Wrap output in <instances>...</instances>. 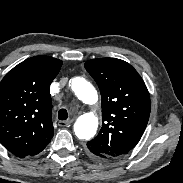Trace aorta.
Returning <instances> with one entry per match:
<instances>
[{
  "label": "aorta",
  "mask_w": 183,
  "mask_h": 183,
  "mask_svg": "<svg viewBox=\"0 0 183 183\" xmlns=\"http://www.w3.org/2000/svg\"><path fill=\"white\" fill-rule=\"evenodd\" d=\"M71 87L79 100L86 104H95L98 94L94 86L82 77L73 78ZM98 118L93 113L81 115L74 124L75 135L79 139L89 140L97 131Z\"/></svg>",
  "instance_id": "obj_1"
}]
</instances>
